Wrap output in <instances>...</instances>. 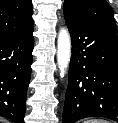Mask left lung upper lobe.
<instances>
[{"mask_svg": "<svg viewBox=\"0 0 118 123\" xmlns=\"http://www.w3.org/2000/svg\"><path fill=\"white\" fill-rule=\"evenodd\" d=\"M63 9L66 20L117 30L113 10L105 0H65Z\"/></svg>", "mask_w": 118, "mask_h": 123, "instance_id": "5c2ea615", "label": "left lung upper lobe"}]
</instances>
